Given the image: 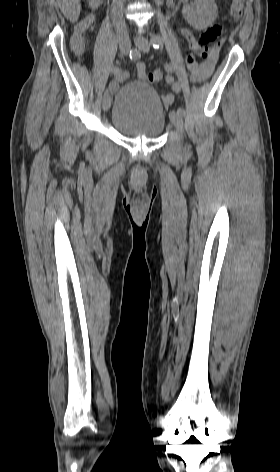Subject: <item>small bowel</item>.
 Returning <instances> with one entry per match:
<instances>
[{
	"mask_svg": "<svg viewBox=\"0 0 280 472\" xmlns=\"http://www.w3.org/2000/svg\"><path fill=\"white\" fill-rule=\"evenodd\" d=\"M170 5L173 6L172 1H170ZM91 24H92V19L87 18L81 21L75 28L74 34L72 36L71 44H72L73 51L78 56H81L84 53L87 45L89 44V41L85 37L84 33L90 27ZM181 34L191 47L196 40L195 37L185 29L181 31ZM216 61H217V49L209 57L205 58L203 61L188 65V69H189L192 81L195 83H200L206 80L207 78H209L214 71ZM136 70H137V76L140 80L147 79L146 65L144 62L142 61L137 62ZM126 78H127L126 73L122 72V76L120 78H115V82L113 83V88H115L117 82L124 81ZM165 84L166 85L171 84V77L169 76L165 77ZM162 101L166 106H170L174 102V97L171 94H165L162 96Z\"/></svg>",
	"mask_w": 280,
	"mask_h": 472,
	"instance_id": "c3829d8e",
	"label": "small bowel"
}]
</instances>
